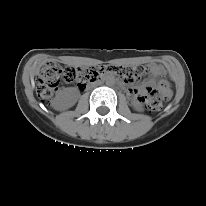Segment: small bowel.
Returning <instances> with one entry per match:
<instances>
[{"instance_id": "c3829d8e", "label": "small bowel", "mask_w": 206, "mask_h": 206, "mask_svg": "<svg viewBox=\"0 0 206 206\" xmlns=\"http://www.w3.org/2000/svg\"><path fill=\"white\" fill-rule=\"evenodd\" d=\"M152 73L154 75H162V74H164V69L160 65H153ZM141 91H142V89L130 88L128 90V93L132 98H135Z\"/></svg>"}]
</instances>
